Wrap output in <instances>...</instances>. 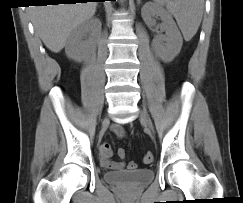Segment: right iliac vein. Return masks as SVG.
Returning a JSON list of instances; mask_svg holds the SVG:
<instances>
[{
  "instance_id": "63e3f726",
  "label": "right iliac vein",
  "mask_w": 243,
  "mask_h": 203,
  "mask_svg": "<svg viewBox=\"0 0 243 203\" xmlns=\"http://www.w3.org/2000/svg\"><path fill=\"white\" fill-rule=\"evenodd\" d=\"M104 122H105V123H107V122H108V119H107V118H105V119H104Z\"/></svg>"
}]
</instances>
